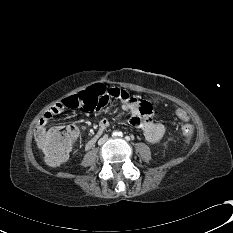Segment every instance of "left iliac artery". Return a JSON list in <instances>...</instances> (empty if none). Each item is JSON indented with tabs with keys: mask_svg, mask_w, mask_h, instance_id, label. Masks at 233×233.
<instances>
[{
	"mask_svg": "<svg viewBox=\"0 0 233 233\" xmlns=\"http://www.w3.org/2000/svg\"><path fill=\"white\" fill-rule=\"evenodd\" d=\"M118 136H123V133L122 132H118Z\"/></svg>",
	"mask_w": 233,
	"mask_h": 233,
	"instance_id": "44dca946",
	"label": "left iliac artery"
}]
</instances>
